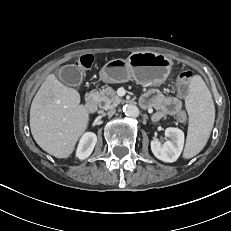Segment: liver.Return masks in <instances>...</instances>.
<instances>
[{
    "label": "liver",
    "instance_id": "liver-1",
    "mask_svg": "<svg viewBox=\"0 0 231 231\" xmlns=\"http://www.w3.org/2000/svg\"><path fill=\"white\" fill-rule=\"evenodd\" d=\"M89 112L77 90L49 74L30 108V129L36 143L57 158H67L88 128Z\"/></svg>",
    "mask_w": 231,
    "mask_h": 231
}]
</instances>
